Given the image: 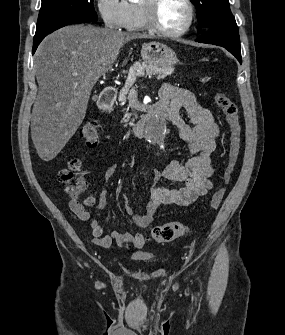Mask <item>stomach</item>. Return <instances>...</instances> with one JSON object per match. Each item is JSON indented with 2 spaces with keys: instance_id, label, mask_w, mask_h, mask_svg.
I'll return each mask as SVG.
<instances>
[{
  "instance_id": "stomach-1",
  "label": "stomach",
  "mask_w": 285,
  "mask_h": 335,
  "mask_svg": "<svg viewBox=\"0 0 285 335\" xmlns=\"http://www.w3.org/2000/svg\"><path fill=\"white\" fill-rule=\"evenodd\" d=\"M141 56L146 64H156V66H175L178 62L174 50L160 42L143 44Z\"/></svg>"
}]
</instances>
